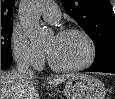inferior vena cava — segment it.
<instances>
[{
  "label": "inferior vena cava",
  "instance_id": "1",
  "mask_svg": "<svg viewBox=\"0 0 115 99\" xmlns=\"http://www.w3.org/2000/svg\"><path fill=\"white\" fill-rule=\"evenodd\" d=\"M17 75L20 81H25L33 77L34 73L29 68V63L26 60H18L17 62Z\"/></svg>",
  "mask_w": 115,
  "mask_h": 99
}]
</instances>
